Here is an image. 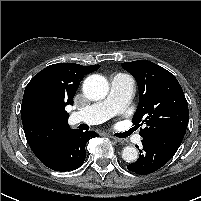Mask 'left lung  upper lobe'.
Returning <instances> with one entry per match:
<instances>
[{
    "instance_id": "1",
    "label": "left lung upper lobe",
    "mask_w": 201,
    "mask_h": 201,
    "mask_svg": "<svg viewBox=\"0 0 201 201\" xmlns=\"http://www.w3.org/2000/svg\"><path fill=\"white\" fill-rule=\"evenodd\" d=\"M122 67L138 84L139 104L132 122L138 127L145 125L140 135L143 138L167 133L185 135L189 110L176 77L147 60L125 62Z\"/></svg>"
}]
</instances>
